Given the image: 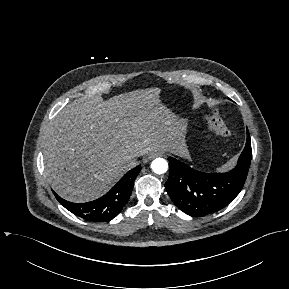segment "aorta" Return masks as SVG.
Masks as SVG:
<instances>
[{
    "label": "aorta",
    "instance_id": "762f6f07",
    "mask_svg": "<svg viewBox=\"0 0 289 289\" xmlns=\"http://www.w3.org/2000/svg\"><path fill=\"white\" fill-rule=\"evenodd\" d=\"M151 168L156 174H163L168 170V163L163 158H156L151 163Z\"/></svg>",
    "mask_w": 289,
    "mask_h": 289
}]
</instances>
